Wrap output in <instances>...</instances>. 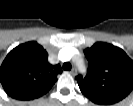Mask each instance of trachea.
I'll return each instance as SVG.
<instances>
[{"label":"trachea","mask_w":133,"mask_h":106,"mask_svg":"<svg viewBox=\"0 0 133 106\" xmlns=\"http://www.w3.org/2000/svg\"><path fill=\"white\" fill-rule=\"evenodd\" d=\"M63 69H64V70H71V64L68 63V62H65V63L63 64Z\"/></svg>","instance_id":"3493384b"}]
</instances>
